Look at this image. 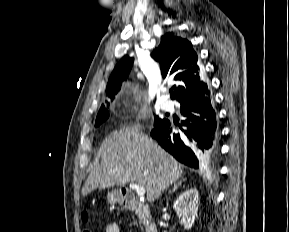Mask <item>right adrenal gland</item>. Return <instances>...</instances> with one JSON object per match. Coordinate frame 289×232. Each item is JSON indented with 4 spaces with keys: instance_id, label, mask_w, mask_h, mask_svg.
Wrapping results in <instances>:
<instances>
[{
    "instance_id": "2a0ac1e0",
    "label": "right adrenal gland",
    "mask_w": 289,
    "mask_h": 232,
    "mask_svg": "<svg viewBox=\"0 0 289 232\" xmlns=\"http://www.w3.org/2000/svg\"><path fill=\"white\" fill-rule=\"evenodd\" d=\"M186 179L185 178H181V180L178 183H174V187L172 189V191H169V193H173L175 192L179 186H181L182 182H184Z\"/></svg>"
}]
</instances>
